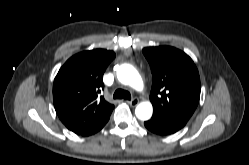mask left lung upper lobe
I'll return each instance as SVG.
<instances>
[{
  "mask_svg": "<svg viewBox=\"0 0 249 165\" xmlns=\"http://www.w3.org/2000/svg\"><path fill=\"white\" fill-rule=\"evenodd\" d=\"M152 72L150 101L154 113L188 121L200 99V78L192 59L170 46L147 47Z\"/></svg>",
  "mask_w": 249,
  "mask_h": 165,
  "instance_id": "left-lung-upper-lobe-1",
  "label": "left lung upper lobe"
}]
</instances>
